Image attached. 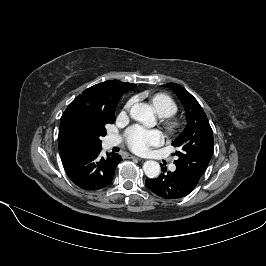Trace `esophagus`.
<instances>
[{
    "label": "esophagus",
    "instance_id": "1",
    "mask_svg": "<svg viewBox=\"0 0 266 266\" xmlns=\"http://www.w3.org/2000/svg\"><path fill=\"white\" fill-rule=\"evenodd\" d=\"M128 158L130 159H137V160H141V158L133 156V155H128Z\"/></svg>",
    "mask_w": 266,
    "mask_h": 266
}]
</instances>
